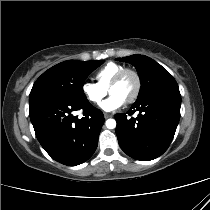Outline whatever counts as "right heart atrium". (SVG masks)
I'll list each match as a JSON object with an SVG mask.
<instances>
[{
	"instance_id": "obj_1",
	"label": "right heart atrium",
	"mask_w": 210,
	"mask_h": 210,
	"mask_svg": "<svg viewBox=\"0 0 210 210\" xmlns=\"http://www.w3.org/2000/svg\"><path fill=\"white\" fill-rule=\"evenodd\" d=\"M81 92L84 98L91 104H99L105 97L107 90L100 87L97 83L84 81L81 85Z\"/></svg>"
}]
</instances>
